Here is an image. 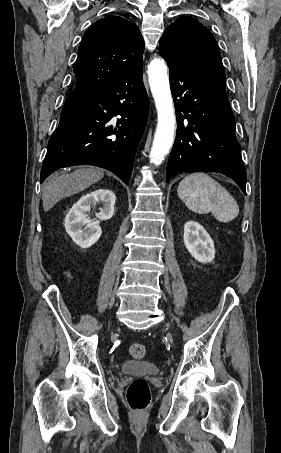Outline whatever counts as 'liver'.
I'll use <instances>...</instances> for the list:
<instances>
[{
  "label": "liver",
  "mask_w": 281,
  "mask_h": 453,
  "mask_svg": "<svg viewBox=\"0 0 281 453\" xmlns=\"http://www.w3.org/2000/svg\"><path fill=\"white\" fill-rule=\"evenodd\" d=\"M104 176L103 168H94V166H82L73 170L71 174H51L44 182L42 190V200L44 210H50L56 202L77 194L81 190H85L91 184H95Z\"/></svg>",
  "instance_id": "obj_1"
}]
</instances>
